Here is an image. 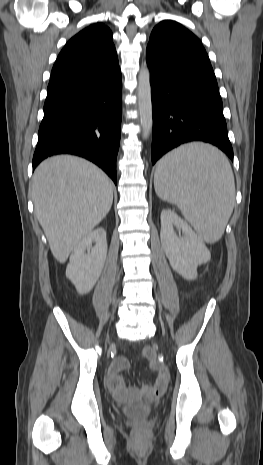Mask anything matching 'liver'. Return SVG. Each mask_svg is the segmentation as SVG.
<instances>
[{
	"instance_id": "6515ba94",
	"label": "liver",
	"mask_w": 263,
	"mask_h": 465,
	"mask_svg": "<svg viewBox=\"0 0 263 465\" xmlns=\"http://www.w3.org/2000/svg\"><path fill=\"white\" fill-rule=\"evenodd\" d=\"M35 215L55 259L64 263L79 242L108 214L109 177L89 161L58 155L44 160L32 181Z\"/></svg>"
}]
</instances>
